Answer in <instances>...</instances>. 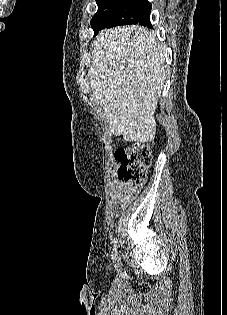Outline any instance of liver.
Returning <instances> with one entry per match:
<instances>
[{
  "mask_svg": "<svg viewBox=\"0 0 227 315\" xmlns=\"http://www.w3.org/2000/svg\"><path fill=\"white\" fill-rule=\"evenodd\" d=\"M90 86L110 132L127 141L153 142V117L164 86L162 47L147 28L106 29L92 45Z\"/></svg>",
  "mask_w": 227,
  "mask_h": 315,
  "instance_id": "obj_1",
  "label": "liver"
}]
</instances>
